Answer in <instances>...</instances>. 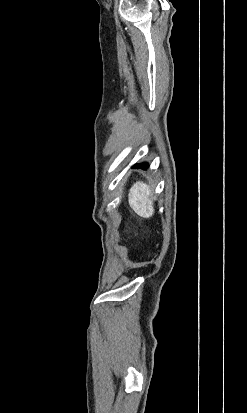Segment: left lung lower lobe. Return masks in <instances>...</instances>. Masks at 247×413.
Here are the masks:
<instances>
[{
  "mask_svg": "<svg viewBox=\"0 0 247 413\" xmlns=\"http://www.w3.org/2000/svg\"><path fill=\"white\" fill-rule=\"evenodd\" d=\"M132 169H143L146 170L148 168L147 163H140V164H135L134 166L131 167Z\"/></svg>",
  "mask_w": 247,
  "mask_h": 413,
  "instance_id": "obj_1",
  "label": "left lung lower lobe"
}]
</instances>
